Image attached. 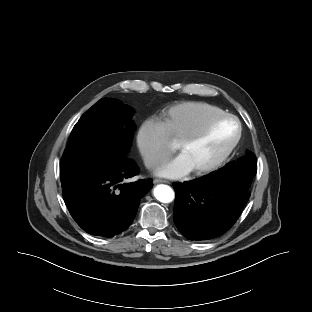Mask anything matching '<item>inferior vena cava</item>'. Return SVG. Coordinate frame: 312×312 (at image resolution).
Masks as SVG:
<instances>
[{
    "label": "inferior vena cava",
    "instance_id": "602c4592",
    "mask_svg": "<svg viewBox=\"0 0 312 312\" xmlns=\"http://www.w3.org/2000/svg\"><path fill=\"white\" fill-rule=\"evenodd\" d=\"M146 166L150 169H155L158 167V163L155 161H148L146 162Z\"/></svg>",
    "mask_w": 312,
    "mask_h": 312
}]
</instances>
